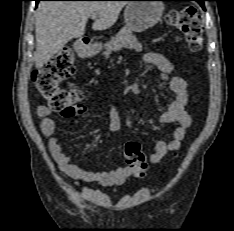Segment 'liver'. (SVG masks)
Segmentation results:
<instances>
[{"label":"liver","mask_w":234,"mask_h":231,"mask_svg":"<svg viewBox=\"0 0 234 231\" xmlns=\"http://www.w3.org/2000/svg\"><path fill=\"white\" fill-rule=\"evenodd\" d=\"M125 1H42L35 19V66L41 68L71 39L85 33L88 18L97 13L93 30H105L115 24Z\"/></svg>","instance_id":"6515ba94"}]
</instances>
